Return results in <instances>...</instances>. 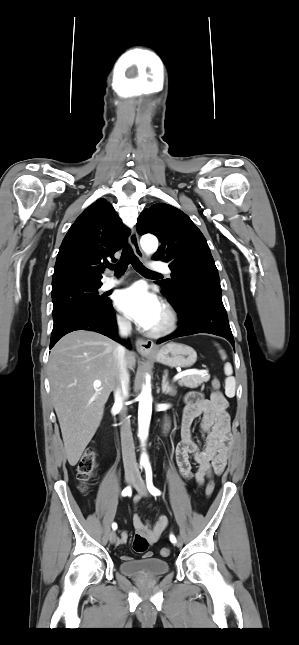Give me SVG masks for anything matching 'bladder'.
<instances>
[{
	"mask_svg": "<svg viewBox=\"0 0 299 645\" xmlns=\"http://www.w3.org/2000/svg\"><path fill=\"white\" fill-rule=\"evenodd\" d=\"M169 570V563L157 557L126 560L119 565V571L123 575L133 578L160 577L167 574Z\"/></svg>",
	"mask_w": 299,
	"mask_h": 645,
	"instance_id": "31cf9c89",
	"label": "bladder"
}]
</instances>
